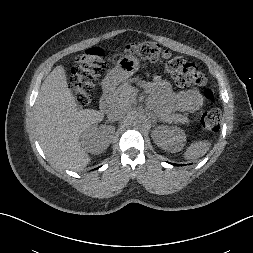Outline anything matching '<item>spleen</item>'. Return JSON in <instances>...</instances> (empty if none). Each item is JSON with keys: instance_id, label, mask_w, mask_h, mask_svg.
Instances as JSON below:
<instances>
[{"instance_id": "3e777b00", "label": "spleen", "mask_w": 253, "mask_h": 253, "mask_svg": "<svg viewBox=\"0 0 253 253\" xmlns=\"http://www.w3.org/2000/svg\"><path fill=\"white\" fill-rule=\"evenodd\" d=\"M209 143L199 141L191 144V146L186 150L184 156L186 159L193 160L203 156L209 150Z\"/></svg>"}]
</instances>
